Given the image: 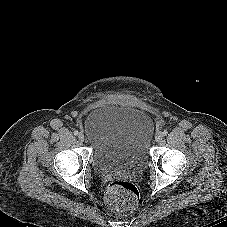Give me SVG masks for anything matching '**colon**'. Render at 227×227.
Returning a JSON list of instances; mask_svg holds the SVG:
<instances>
[{
  "label": "colon",
  "instance_id": "5ec220e1",
  "mask_svg": "<svg viewBox=\"0 0 227 227\" xmlns=\"http://www.w3.org/2000/svg\"><path fill=\"white\" fill-rule=\"evenodd\" d=\"M138 200L136 186L127 180H113L106 188L105 202L118 215L132 213L137 208Z\"/></svg>",
  "mask_w": 227,
  "mask_h": 227
}]
</instances>
